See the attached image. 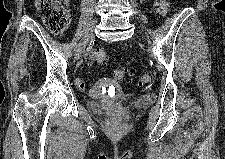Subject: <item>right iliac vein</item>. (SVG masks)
<instances>
[{"mask_svg": "<svg viewBox=\"0 0 225 159\" xmlns=\"http://www.w3.org/2000/svg\"><path fill=\"white\" fill-rule=\"evenodd\" d=\"M95 25H96V23L92 22L86 29V31L83 35V38L80 41L78 48L75 52V60H79L81 58L82 53H83L87 43L92 39Z\"/></svg>", "mask_w": 225, "mask_h": 159, "instance_id": "63e3f726", "label": "right iliac vein"}]
</instances>
